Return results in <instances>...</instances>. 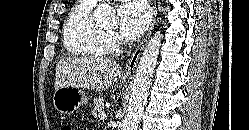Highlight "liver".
I'll return each mask as SVG.
<instances>
[{
	"label": "liver",
	"instance_id": "obj_1",
	"mask_svg": "<svg viewBox=\"0 0 249 130\" xmlns=\"http://www.w3.org/2000/svg\"><path fill=\"white\" fill-rule=\"evenodd\" d=\"M120 72V65L110 59L95 56H73L61 59L55 72V90L64 86L105 90L110 88Z\"/></svg>",
	"mask_w": 249,
	"mask_h": 130
}]
</instances>
